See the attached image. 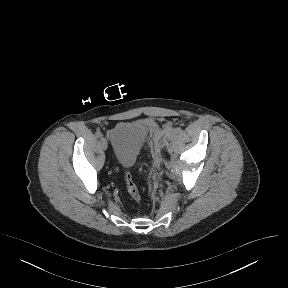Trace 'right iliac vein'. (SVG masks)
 I'll return each mask as SVG.
<instances>
[{
  "instance_id": "right-iliac-vein-1",
  "label": "right iliac vein",
  "mask_w": 288,
  "mask_h": 288,
  "mask_svg": "<svg viewBox=\"0 0 288 288\" xmlns=\"http://www.w3.org/2000/svg\"><path fill=\"white\" fill-rule=\"evenodd\" d=\"M101 146H102V148H103L104 150L107 149L108 143H107V140H106L105 138H102V139H101Z\"/></svg>"
}]
</instances>
